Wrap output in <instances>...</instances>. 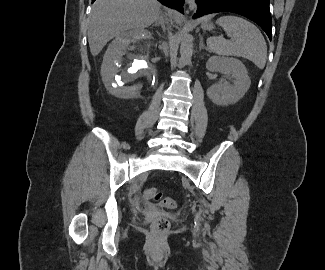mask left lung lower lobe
<instances>
[{
	"mask_svg": "<svg viewBox=\"0 0 325 270\" xmlns=\"http://www.w3.org/2000/svg\"><path fill=\"white\" fill-rule=\"evenodd\" d=\"M270 0H196L198 10L194 18L217 12H232L257 23L271 40L272 22Z\"/></svg>",
	"mask_w": 325,
	"mask_h": 270,
	"instance_id": "obj_1",
	"label": "left lung lower lobe"
}]
</instances>
